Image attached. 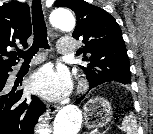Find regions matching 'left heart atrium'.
<instances>
[{
	"instance_id": "left-heart-atrium-1",
	"label": "left heart atrium",
	"mask_w": 153,
	"mask_h": 134,
	"mask_svg": "<svg viewBox=\"0 0 153 134\" xmlns=\"http://www.w3.org/2000/svg\"><path fill=\"white\" fill-rule=\"evenodd\" d=\"M29 87L33 92L47 99L60 100L69 94L71 78L66 69H55L50 65H46L31 76Z\"/></svg>"
}]
</instances>
